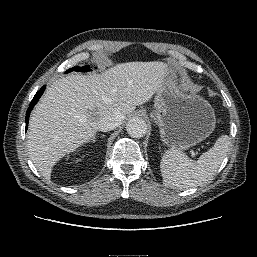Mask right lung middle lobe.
<instances>
[{
  "mask_svg": "<svg viewBox=\"0 0 257 257\" xmlns=\"http://www.w3.org/2000/svg\"><path fill=\"white\" fill-rule=\"evenodd\" d=\"M71 71H81V72H87L90 71L89 66H84V67H73L69 70L66 71V73L71 72Z\"/></svg>",
  "mask_w": 257,
  "mask_h": 257,
  "instance_id": "1",
  "label": "right lung middle lobe"
}]
</instances>
